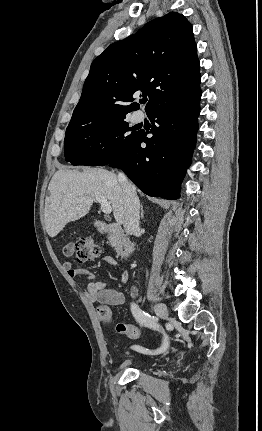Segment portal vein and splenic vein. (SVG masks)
Here are the masks:
<instances>
[{
    "label": "portal vein and splenic vein",
    "mask_w": 262,
    "mask_h": 431,
    "mask_svg": "<svg viewBox=\"0 0 262 431\" xmlns=\"http://www.w3.org/2000/svg\"><path fill=\"white\" fill-rule=\"evenodd\" d=\"M95 199L101 205V210L105 214H110L112 212V207L110 202L102 194H95Z\"/></svg>",
    "instance_id": "1"
}]
</instances>
